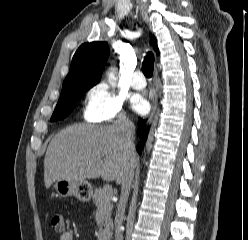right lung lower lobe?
<instances>
[{"mask_svg": "<svg viewBox=\"0 0 248 240\" xmlns=\"http://www.w3.org/2000/svg\"><path fill=\"white\" fill-rule=\"evenodd\" d=\"M145 124H146V120H143V119L139 118V121H138V135L140 137V142H139V144L137 146V151H138L139 154H141V152H142L144 143H145V141L147 139V135H148V132H149V128H146Z\"/></svg>", "mask_w": 248, "mask_h": 240, "instance_id": "obj_1", "label": "right lung lower lobe"}]
</instances>
